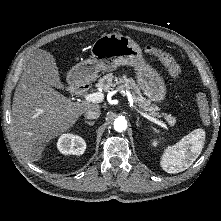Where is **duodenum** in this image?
<instances>
[{"mask_svg": "<svg viewBox=\"0 0 221 221\" xmlns=\"http://www.w3.org/2000/svg\"><path fill=\"white\" fill-rule=\"evenodd\" d=\"M86 89H87V86L84 85V84H76V85L74 86V90H75V92H77V93H81V92L85 91Z\"/></svg>", "mask_w": 221, "mask_h": 221, "instance_id": "410a0bca", "label": "duodenum"}]
</instances>
